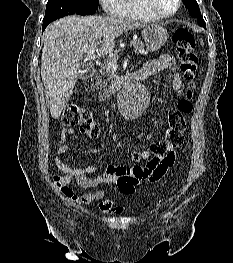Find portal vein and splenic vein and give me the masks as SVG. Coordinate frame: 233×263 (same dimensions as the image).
Returning <instances> with one entry per match:
<instances>
[{
  "instance_id": "18ae733b",
  "label": "portal vein and splenic vein",
  "mask_w": 233,
  "mask_h": 263,
  "mask_svg": "<svg viewBox=\"0 0 233 263\" xmlns=\"http://www.w3.org/2000/svg\"><path fill=\"white\" fill-rule=\"evenodd\" d=\"M97 43H92L91 47L87 53V55L85 56V60L89 59L90 57H92V55L94 54V51L96 49ZM139 53L141 54H147V52H145L144 50H139ZM107 62L109 64L110 67H112L113 69H116L117 66V62L112 60V59H107Z\"/></svg>"
}]
</instances>
